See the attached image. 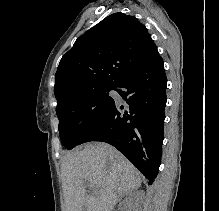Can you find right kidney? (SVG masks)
Returning <instances> with one entry per match:
<instances>
[{
  "instance_id": "right-kidney-1",
  "label": "right kidney",
  "mask_w": 219,
  "mask_h": 211,
  "mask_svg": "<svg viewBox=\"0 0 219 211\" xmlns=\"http://www.w3.org/2000/svg\"><path fill=\"white\" fill-rule=\"evenodd\" d=\"M136 193H138V191H136ZM139 201H140V199H138V197H136V199H131V197H130V201H126L125 207H132V203H135L134 211H137V205H138ZM130 211H131V209H130Z\"/></svg>"
}]
</instances>
